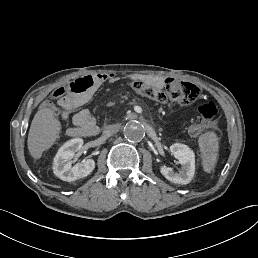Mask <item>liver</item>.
I'll return each mask as SVG.
<instances>
[{"label":"liver","instance_id":"obj_1","mask_svg":"<svg viewBox=\"0 0 258 258\" xmlns=\"http://www.w3.org/2000/svg\"><path fill=\"white\" fill-rule=\"evenodd\" d=\"M61 124L54 117V111L50 108L40 109L34 116L29 134L28 150L34 159H39L42 153L49 149L59 138Z\"/></svg>","mask_w":258,"mask_h":258}]
</instances>
